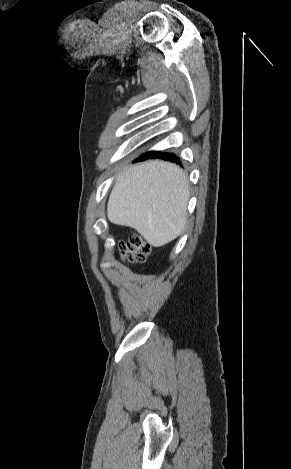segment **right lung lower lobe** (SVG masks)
Returning a JSON list of instances; mask_svg holds the SVG:
<instances>
[{
    "instance_id": "1",
    "label": "right lung lower lobe",
    "mask_w": 291,
    "mask_h": 469,
    "mask_svg": "<svg viewBox=\"0 0 291 469\" xmlns=\"http://www.w3.org/2000/svg\"><path fill=\"white\" fill-rule=\"evenodd\" d=\"M146 158H161V159H164V160H167V161H172V162H176V163L180 164L179 158L177 156H175L173 153L151 151V152H147V153L143 154L137 160H143V159H146Z\"/></svg>"
}]
</instances>
